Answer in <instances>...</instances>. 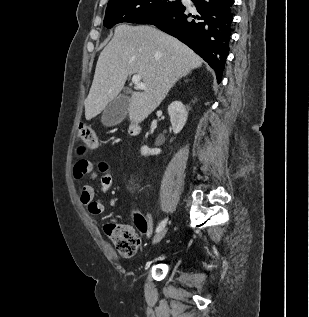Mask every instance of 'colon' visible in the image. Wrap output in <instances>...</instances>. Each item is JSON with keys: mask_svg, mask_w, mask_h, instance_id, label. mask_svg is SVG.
Segmentation results:
<instances>
[{"mask_svg": "<svg viewBox=\"0 0 309 317\" xmlns=\"http://www.w3.org/2000/svg\"><path fill=\"white\" fill-rule=\"evenodd\" d=\"M78 136L86 148L91 150L98 148L97 136L89 126L81 124ZM135 224L142 233L149 234V225L143 217L137 216ZM105 232L122 256L130 258L137 253L139 237L132 225L113 221L106 225Z\"/></svg>", "mask_w": 309, "mask_h": 317, "instance_id": "1", "label": "colon"}]
</instances>
